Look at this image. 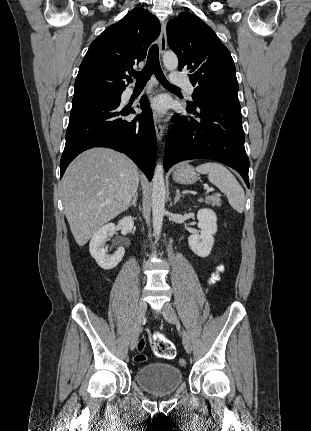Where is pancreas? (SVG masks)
I'll return each mask as SVG.
<instances>
[{
	"instance_id": "cf45deb5",
	"label": "pancreas",
	"mask_w": 311,
	"mask_h": 431,
	"mask_svg": "<svg viewBox=\"0 0 311 431\" xmlns=\"http://www.w3.org/2000/svg\"><path fill=\"white\" fill-rule=\"evenodd\" d=\"M199 202H205V204H211V206H217V208L222 206V200L219 196H206L205 200H199Z\"/></svg>"
}]
</instances>
